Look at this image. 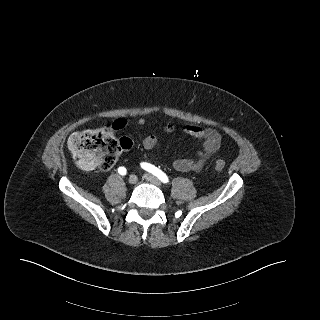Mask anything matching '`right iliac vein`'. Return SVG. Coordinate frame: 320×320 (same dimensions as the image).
I'll use <instances>...</instances> for the list:
<instances>
[{
	"label": "right iliac vein",
	"mask_w": 320,
	"mask_h": 320,
	"mask_svg": "<svg viewBox=\"0 0 320 320\" xmlns=\"http://www.w3.org/2000/svg\"><path fill=\"white\" fill-rule=\"evenodd\" d=\"M137 176L136 175H130V177H129V179H128V182L130 183V184H136L137 183Z\"/></svg>",
	"instance_id": "63e3f726"
}]
</instances>
